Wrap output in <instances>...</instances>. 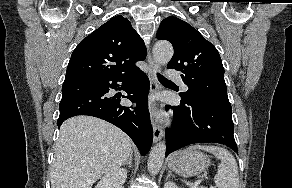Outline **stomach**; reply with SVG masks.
Listing matches in <instances>:
<instances>
[{
  "label": "stomach",
  "mask_w": 292,
  "mask_h": 188,
  "mask_svg": "<svg viewBox=\"0 0 292 188\" xmlns=\"http://www.w3.org/2000/svg\"><path fill=\"white\" fill-rule=\"evenodd\" d=\"M210 158L197 150H183L169 157L168 167L183 177L197 175L208 168Z\"/></svg>",
  "instance_id": "1"
}]
</instances>
